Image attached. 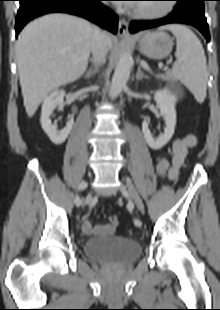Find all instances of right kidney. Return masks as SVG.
I'll return each mask as SVG.
<instances>
[{"mask_svg":"<svg viewBox=\"0 0 220 310\" xmlns=\"http://www.w3.org/2000/svg\"><path fill=\"white\" fill-rule=\"evenodd\" d=\"M64 90H54L49 96L43 100L42 110H41V126L44 132L47 134L49 139L55 145H60L64 143L68 137L72 126L74 124L73 118H70L66 126L62 130H57V125L52 124L50 116L52 115L54 109L59 106L64 105Z\"/></svg>","mask_w":220,"mask_h":310,"instance_id":"1","label":"right kidney"}]
</instances>
